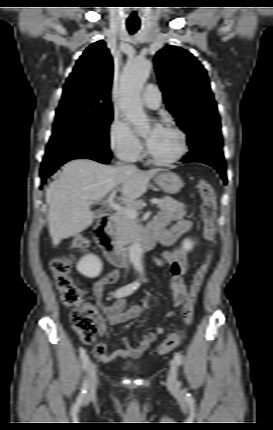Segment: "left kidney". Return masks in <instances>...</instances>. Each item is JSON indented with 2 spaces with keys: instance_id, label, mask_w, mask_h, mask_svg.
Instances as JSON below:
<instances>
[{
  "instance_id": "obj_1",
  "label": "left kidney",
  "mask_w": 273,
  "mask_h": 430,
  "mask_svg": "<svg viewBox=\"0 0 273 430\" xmlns=\"http://www.w3.org/2000/svg\"><path fill=\"white\" fill-rule=\"evenodd\" d=\"M194 243L190 239H185L183 241L184 250H191L193 248Z\"/></svg>"
}]
</instances>
